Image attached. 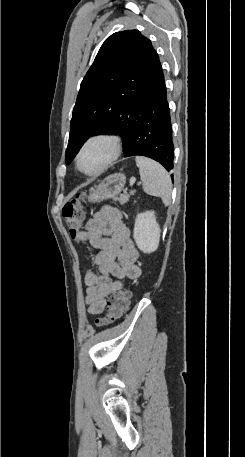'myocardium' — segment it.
<instances>
[{
  "mask_svg": "<svg viewBox=\"0 0 245 457\" xmlns=\"http://www.w3.org/2000/svg\"><path fill=\"white\" fill-rule=\"evenodd\" d=\"M96 143H100L102 145H94ZM94 146H102L105 148L107 151V158L105 162L96 170L94 171H87L85 170L82 165H81V160L83 155L86 153L87 150ZM120 153V141L116 136L109 135V134H98L89 137L84 143L79 151L77 158H76V163L78 166V169L89 176H94L98 175L104 170H106L108 167H110L113 162L117 159L118 155Z\"/></svg>",
  "mask_w": 245,
  "mask_h": 457,
  "instance_id": "f54148a6",
  "label": "myocardium"
}]
</instances>
